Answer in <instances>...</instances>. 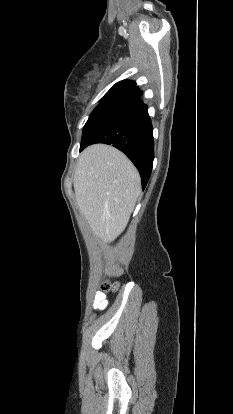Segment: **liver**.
<instances>
[{"label": "liver", "mask_w": 233, "mask_h": 414, "mask_svg": "<svg viewBox=\"0 0 233 414\" xmlns=\"http://www.w3.org/2000/svg\"><path fill=\"white\" fill-rule=\"evenodd\" d=\"M78 208L103 243L126 227L141 192L140 175L118 149L104 144L80 154L74 175Z\"/></svg>", "instance_id": "6515ba94"}]
</instances>
